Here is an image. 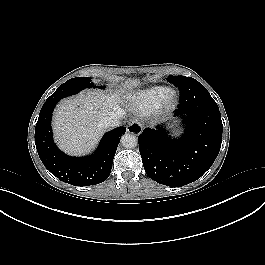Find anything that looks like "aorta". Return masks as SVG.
I'll return each instance as SVG.
<instances>
[{
    "mask_svg": "<svg viewBox=\"0 0 265 265\" xmlns=\"http://www.w3.org/2000/svg\"><path fill=\"white\" fill-rule=\"evenodd\" d=\"M121 144L127 149H132L138 145V139L135 135L130 133H125L121 137Z\"/></svg>",
    "mask_w": 265,
    "mask_h": 265,
    "instance_id": "762f6f07",
    "label": "aorta"
}]
</instances>
